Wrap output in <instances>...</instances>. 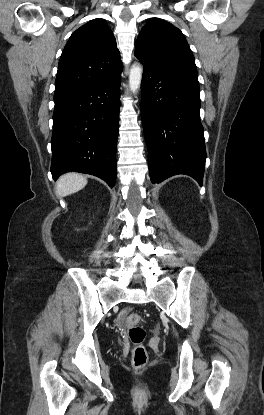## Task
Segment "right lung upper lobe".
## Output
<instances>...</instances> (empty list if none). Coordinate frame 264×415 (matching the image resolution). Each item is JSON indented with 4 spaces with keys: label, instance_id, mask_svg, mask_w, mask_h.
I'll list each match as a JSON object with an SVG mask.
<instances>
[{
    "label": "right lung upper lobe",
    "instance_id": "cb5924a9",
    "mask_svg": "<svg viewBox=\"0 0 264 415\" xmlns=\"http://www.w3.org/2000/svg\"><path fill=\"white\" fill-rule=\"evenodd\" d=\"M123 65L113 32L94 19L72 33L58 64L55 93L109 80Z\"/></svg>",
    "mask_w": 264,
    "mask_h": 415
}]
</instances>
